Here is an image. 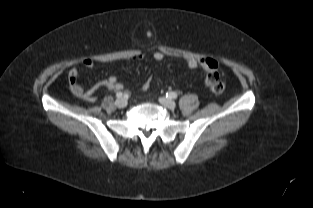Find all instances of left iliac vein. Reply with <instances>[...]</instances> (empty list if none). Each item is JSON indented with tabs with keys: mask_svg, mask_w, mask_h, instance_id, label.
<instances>
[{
	"mask_svg": "<svg viewBox=\"0 0 313 208\" xmlns=\"http://www.w3.org/2000/svg\"><path fill=\"white\" fill-rule=\"evenodd\" d=\"M159 102L168 109H174L176 104L173 100L165 97L159 98Z\"/></svg>",
	"mask_w": 313,
	"mask_h": 208,
	"instance_id": "obj_1",
	"label": "left iliac vein"
}]
</instances>
